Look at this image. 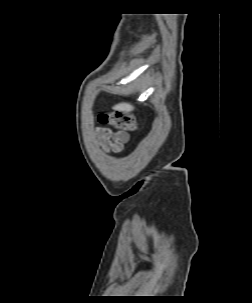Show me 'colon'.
<instances>
[{
  "instance_id": "1",
  "label": "colon",
  "mask_w": 252,
  "mask_h": 303,
  "mask_svg": "<svg viewBox=\"0 0 252 303\" xmlns=\"http://www.w3.org/2000/svg\"><path fill=\"white\" fill-rule=\"evenodd\" d=\"M98 122L127 131H135L137 128L134 115L124 110H113L107 113H101L98 116Z\"/></svg>"
}]
</instances>
